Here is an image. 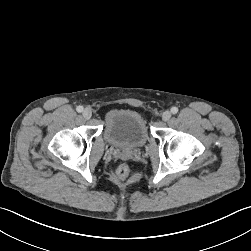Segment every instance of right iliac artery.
<instances>
[{
    "label": "right iliac artery",
    "mask_w": 251,
    "mask_h": 251,
    "mask_svg": "<svg viewBox=\"0 0 251 251\" xmlns=\"http://www.w3.org/2000/svg\"><path fill=\"white\" fill-rule=\"evenodd\" d=\"M76 110H77V112L81 113V112L83 111V107H82V106H78V107L76 108Z\"/></svg>",
    "instance_id": "82829eb1"
}]
</instances>
